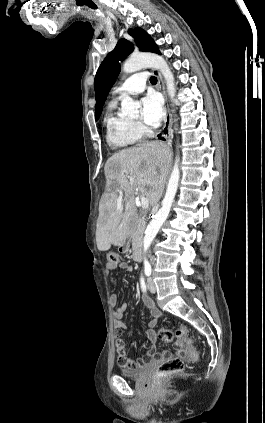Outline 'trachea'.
I'll list each match as a JSON object with an SVG mask.
<instances>
[{
    "mask_svg": "<svg viewBox=\"0 0 265 423\" xmlns=\"http://www.w3.org/2000/svg\"><path fill=\"white\" fill-rule=\"evenodd\" d=\"M150 82H151L152 84H156V83H157V78H156L155 76H152V77L150 78Z\"/></svg>",
    "mask_w": 265,
    "mask_h": 423,
    "instance_id": "obj_1",
    "label": "trachea"
}]
</instances>
